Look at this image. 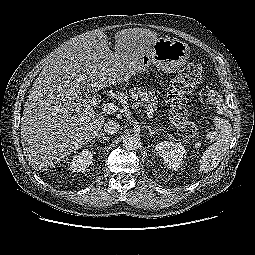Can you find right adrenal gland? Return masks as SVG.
Wrapping results in <instances>:
<instances>
[{
	"label": "right adrenal gland",
	"instance_id": "right-adrenal-gland-1",
	"mask_svg": "<svg viewBox=\"0 0 255 255\" xmlns=\"http://www.w3.org/2000/svg\"><path fill=\"white\" fill-rule=\"evenodd\" d=\"M97 137H102L105 141H107V140L110 139V137H106V136L104 135V133L98 134Z\"/></svg>",
	"mask_w": 255,
	"mask_h": 255
}]
</instances>
